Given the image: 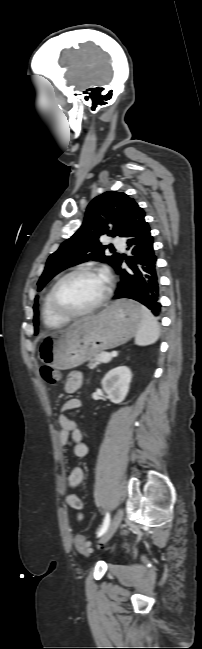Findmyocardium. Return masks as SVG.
I'll return each mask as SVG.
<instances>
[{"instance_id": "myocardium-1", "label": "myocardium", "mask_w": 202, "mask_h": 649, "mask_svg": "<svg viewBox=\"0 0 202 649\" xmlns=\"http://www.w3.org/2000/svg\"><path fill=\"white\" fill-rule=\"evenodd\" d=\"M84 273H100L102 275L104 274L105 280H106L105 291H104L103 295L101 296V298L95 304L90 306L89 308L84 309V310H71V309L67 308L60 301L59 296H58L59 287L61 286V284L66 279H68V278H70V277H72L74 275L84 274ZM111 292H112V283H111L110 277L107 274L103 273V271H101L99 268L94 267V266H82V267H77L75 269H72L71 271L65 273L64 275H62L54 283V285L51 288V292H50V300H51V304H52V307H53L54 311L58 315H60L62 317H66V318H77V317H83V316L92 314L93 312H95L96 310L101 308L107 302V300L109 299V297L111 295Z\"/></svg>"}]
</instances>
